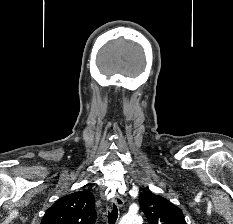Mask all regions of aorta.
I'll return each mask as SVG.
<instances>
[{
  "instance_id": "1",
  "label": "aorta",
  "mask_w": 233,
  "mask_h": 224,
  "mask_svg": "<svg viewBox=\"0 0 233 224\" xmlns=\"http://www.w3.org/2000/svg\"><path fill=\"white\" fill-rule=\"evenodd\" d=\"M119 224H142V219L137 214H126L124 215Z\"/></svg>"
}]
</instances>
